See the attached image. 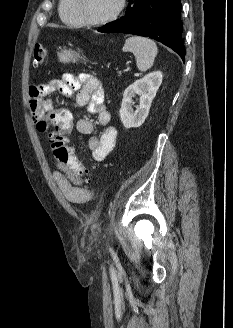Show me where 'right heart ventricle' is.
<instances>
[{"instance_id":"e07e8e85","label":"right heart ventricle","mask_w":233,"mask_h":328,"mask_svg":"<svg viewBox=\"0 0 233 328\" xmlns=\"http://www.w3.org/2000/svg\"><path fill=\"white\" fill-rule=\"evenodd\" d=\"M59 15L62 22L72 28H79L82 23L75 13V0H60Z\"/></svg>"}]
</instances>
